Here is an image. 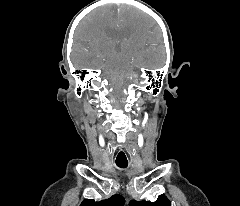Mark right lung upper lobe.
Segmentation results:
<instances>
[{
  "label": "right lung upper lobe",
  "mask_w": 240,
  "mask_h": 206,
  "mask_svg": "<svg viewBox=\"0 0 240 206\" xmlns=\"http://www.w3.org/2000/svg\"><path fill=\"white\" fill-rule=\"evenodd\" d=\"M125 199L121 195H113L111 198L95 202L91 199L84 200L80 206H123Z\"/></svg>",
  "instance_id": "obj_1"
}]
</instances>
